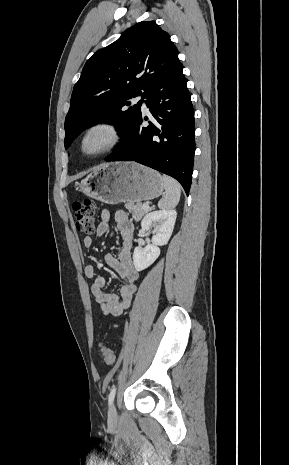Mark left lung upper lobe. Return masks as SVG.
<instances>
[{
	"label": "left lung upper lobe",
	"instance_id": "obj_1",
	"mask_svg": "<svg viewBox=\"0 0 289 465\" xmlns=\"http://www.w3.org/2000/svg\"><path fill=\"white\" fill-rule=\"evenodd\" d=\"M180 66L169 34L154 21L127 29L86 62L65 119V147L81 131L105 119L119 123L116 130L123 142L141 115V101L127 109L128 100L143 95Z\"/></svg>",
	"mask_w": 289,
	"mask_h": 465
}]
</instances>
